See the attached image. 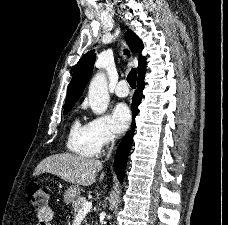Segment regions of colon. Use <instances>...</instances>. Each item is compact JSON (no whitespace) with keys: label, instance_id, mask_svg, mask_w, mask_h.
<instances>
[{"label":"colon","instance_id":"obj_1","mask_svg":"<svg viewBox=\"0 0 228 225\" xmlns=\"http://www.w3.org/2000/svg\"><path fill=\"white\" fill-rule=\"evenodd\" d=\"M26 197L31 207L37 213L38 211H44L49 201L48 190L45 187L37 184H31L27 187Z\"/></svg>","mask_w":228,"mask_h":225}]
</instances>
